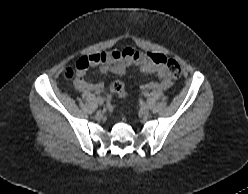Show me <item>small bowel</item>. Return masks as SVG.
<instances>
[{"instance_id": "1", "label": "small bowel", "mask_w": 248, "mask_h": 194, "mask_svg": "<svg viewBox=\"0 0 248 194\" xmlns=\"http://www.w3.org/2000/svg\"><path fill=\"white\" fill-rule=\"evenodd\" d=\"M152 55L153 53L137 51L127 47L122 50L94 54L91 55V59L105 73L124 75L130 66H136L142 72L156 74L157 81L142 83L140 89L144 91L168 90L172 85V80L167 76L163 66L154 63ZM74 85L82 92L100 93L103 90V83L89 82L86 79L85 71L79 72Z\"/></svg>"}]
</instances>
